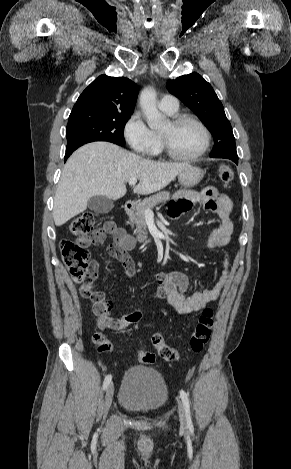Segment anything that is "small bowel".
<instances>
[{"label":"small bowel","instance_id":"1","mask_svg":"<svg viewBox=\"0 0 291 469\" xmlns=\"http://www.w3.org/2000/svg\"><path fill=\"white\" fill-rule=\"evenodd\" d=\"M202 203L204 208L216 214L220 223L212 229L207 239V247L218 249L226 246L233 232V222L231 220L232 202L215 187H206L201 191L182 190L175 194L174 199L169 204V215L173 219H178L188 211L193 203ZM102 237L93 244H101L106 235H112L114 244L127 257V252L135 246V239L127 234L113 222H107L101 229ZM114 256V255H113ZM118 258L117 256H115ZM120 261L121 259L118 258ZM122 262V261H121ZM96 267V262H93ZM230 280V263L228 257L224 261V269L219 281L210 288L196 291L189 296L185 292L189 286L188 276L181 271L160 272L156 275V287L154 294L157 298H166L171 306L179 314H188L203 309L207 304L216 300L222 290ZM141 318V313L132 309L120 318H113L111 329L121 331L136 323Z\"/></svg>","mask_w":291,"mask_h":469}]
</instances>
